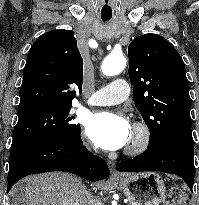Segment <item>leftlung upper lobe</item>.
I'll list each match as a JSON object with an SVG mask.
<instances>
[{
	"instance_id": "obj_1",
	"label": "left lung upper lobe",
	"mask_w": 199,
	"mask_h": 205,
	"mask_svg": "<svg viewBox=\"0 0 199 205\" xmlns=\"http://www.w3.org/2000/svg\"><path fill=\"white\" fill-rule=\"evenodd\" d=\"M135 106L157 145L175 133H192L189 81L176 49L164 37L145 34L128 47Z\"/></svg>"
}]
</instances>
